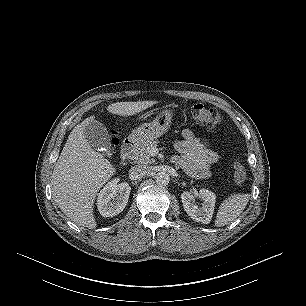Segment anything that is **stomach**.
<instances>
[{
	"instance_id": "0dacf381",
	"label": "stomach",
	"mask_w": 306,
	"mask_h": 306,
	"mask_svg": "<svg viewBox=\"0 0 306 306\" xmlns=\"http://www.w3.org/2000/svg\"><path fill=\"white\" fill-rule=\"evenodd\" d=\"M173 111L171 109L162 110L152 123H144L137 127L129 136L135 144H148L165 134L171 126Z\"/></svg>"
}]
</instances>
